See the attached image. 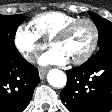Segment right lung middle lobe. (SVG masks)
<instances>
[{"instance_id":"right-lung-middle-lobe-1","label":"right lung middle lobe","mask_w":112,"mask_h":112,"mask_svg":"<svg viewBox=\"0 0 112 112\" xmlns=\"http://www.w3.org/2000/svg\"><path fill=\"white\" fill-rule=\"evenodd\" d=\"M26 19L23 15H0V57L19 56L14 37L18 26Z\"/></svg>"}]
</instances>
